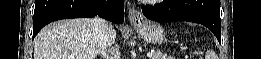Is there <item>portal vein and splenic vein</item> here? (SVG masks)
I'll use <instances>...</instances> for the list:
<instances>
[{"label": "portal vein and splenic vein", "instance_id": "portal-vein-and-splenic-vein-1", "mask_svg": "<svg viewBox=\"0 0 261 59\" xmlns=\"http://www.w3.org/2000/svg\"><path fill=\"white\" fill-rule=\"evenodd\" d=\"M147 56L150 58V57L153 56V53H152V52H149V53H147Z\"/></svg>", "mask_w": 261, "mask_h": 59}]
</instances>
